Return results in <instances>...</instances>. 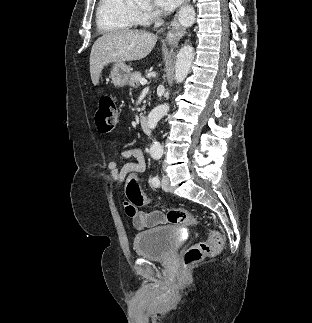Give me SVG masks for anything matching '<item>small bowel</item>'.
<instances>
[{
  "mask_svg": "<svg viewBox=\"0 0 312 323\" xmlns=\"http://www.w3.org/2000/svg\"><path fill=\"white\" fill-rule=\"evenodd\" d=\"M134 160L130 162L129 160ZM146 159L142 149L140 148H127L120 153L119 161L112 160L108 163L111 177L117 184L124 182V176H138L146 170ZM133 167L135 172L129 174L127 169ZM132 218L133 226L138 230H144L156 227L166 222L165 215L159 210H151L148 212L136 211L130 215Z\"/></svg>",
  "mask_w": 312,
  "mask_h": 323,
  "instance_id": "obj_1",
  "label": "small bowel"
}]
</instances>
